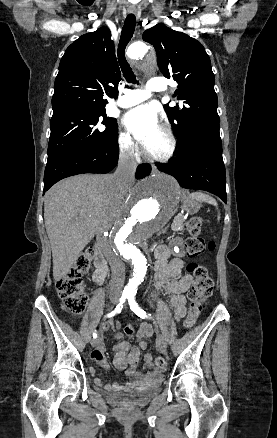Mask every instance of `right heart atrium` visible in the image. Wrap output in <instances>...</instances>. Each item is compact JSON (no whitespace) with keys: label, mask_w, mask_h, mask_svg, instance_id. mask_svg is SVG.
Listing matches in <instances>:
<instances>
[{"label":"right heart atrium","mask_w":277,"mask_h":438,"mask_svg":"<svg viewBox=\"0 0 277 438\" xmlns=\"http://www.w3.org/2000/svg\"><path fill=\"white\" fill-rule=\"evenodd\" d=\"M118 145L120 148V152L125 156H130L135 151V143L126 131L119 132Z\"/></svg>","instance_id":"right-heart-atrium-1"}]
</instances>
